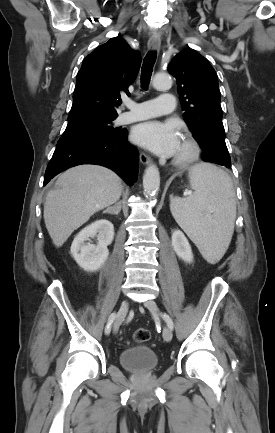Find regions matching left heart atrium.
<instances>
[{"label":"left heart atrium","instance_id":"left-heart-atrium-1","mask_svg":"<svg viewBox=\"0 0 275 433\" xmlns=\"http://www.w3.org/2000/svg\"><path fill=\"white\" fill-rule=\"evenodd\" d=\"M132 139L157 155L170 157L176 154L181 138L173 123L150 120L134 127Z\"/></svg>","mask_w":275,"mask_h":433}]
</instances>
